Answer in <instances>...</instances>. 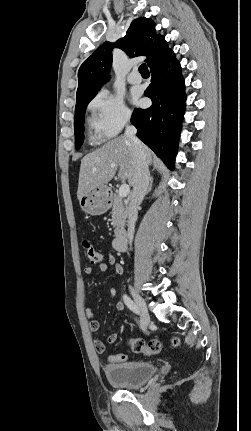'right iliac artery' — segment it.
<instances>
[{
    "mask_svg": "<svg viewBox=\"0 0 251 431\" xmlns=\"http://www.w3.org/2000/svg\"><path fill=\"white\" fill-rule=\"evenodd\" d=\"M123 300L124 303L126 304V306L135 314L139 315L140 314V310L137 307V305L127 296V295H123Z\"/></svg>",
    "mask_w": 251,
    "mask_h": 431,
    "instance_id": "right-iliac-artery-1",
    "label": "right iliac artery"
}]
</instances>
